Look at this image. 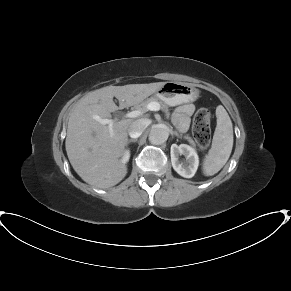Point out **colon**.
<instances>
[{
	"instance_id": "1",
	"label": "colon",
	"mask_w": 291,
	"mask_h": 291,
	"mask_svg": "<svg viewBox=\"0 0 291 291\" xmlns=\"http://www.w3.org/2000/svg\"><path fill=\"white\" fill-rule=\"evenodd\" d=\"M211 112L207 108L200 109L194 116L192 133L201 148H206L210 142Z\"/></svg>"
}]
</instances>
